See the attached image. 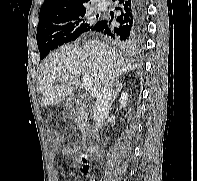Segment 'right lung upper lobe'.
<instances>
[{
	"label": "right lung upper lobe",
	"instance_id": "cb5924a9",
	"mask_svg": "<svg viewBox=\"0 0 197 181\" xmlns=\"http://www.w3.org/2000/svg\"><path fill=\"white\" fill-rule=\"evenodd\" d=\"M89 2L90 0H45L40 9L39 21L86 7Z\"/></svg>",
	"mask_w": 197,
	"mask_h": 181
}]
</instances>
